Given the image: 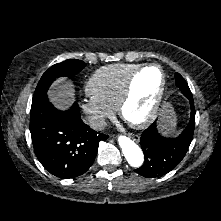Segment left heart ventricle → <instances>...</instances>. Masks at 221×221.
I'll return each instance as SVG.
<instances>
[{
	"label": "left heart ventricle",
	"instance_id": "obj_1",
	"mask_svg": "<svg viewBox=\"0 0 221 221\" xmlns=\"http://www.w3.org/2000/svg\"><path fill=\"white\" fill-rule=\"evenodd\" d=\"M160 84L161 75L157 68H148L138 75L134 81L133 97L125 109L129 120L138 121L147 116Z\"/></svg>",
	"mask_w": 221,
	"mask_h": 221
}]
</instances>
